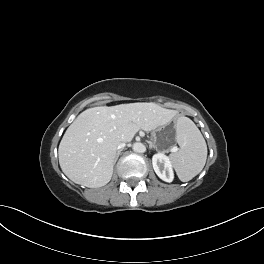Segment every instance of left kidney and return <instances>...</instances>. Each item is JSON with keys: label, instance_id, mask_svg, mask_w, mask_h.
I'll use <instances>...</instances> for the list:
<instances>
[{"label": "left kidney", "instance_id": "5707ae66", "mask_svg": "<svg viewBox=\"0 0 264 264\" xmlns=\"http://www.w3.org/2000/svg\"><path fill=\"white\" fill-rule=\"evenodd\" d=\"M152 164L155 173L160 179L165 182H172L174 179V173L172 164L168 156L164 153H157L152 157Z\"/></svg>", "mask_w": 264, "mask_h": 264}]
</instances>
